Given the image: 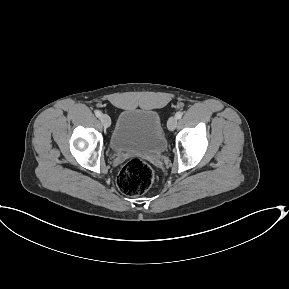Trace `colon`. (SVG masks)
Wrapping results in <instances>:
<instances>
[{"label": "colon", "instance_id": "colon-1", "mask_svg": "<svg viewBox=\"0 0 289 289\" xmlns=\"http://www.w3.org/2000/svg\"><path fill=\"white\" fill-rule=\"evenodd\" d=\"M154 173L151 166L140 158L127 161L122 167L117 185L119 190L129 196L145 193L153 184Z\"/></svg>", "mask_w": 289, "mask_h": 289}]
</instances>
